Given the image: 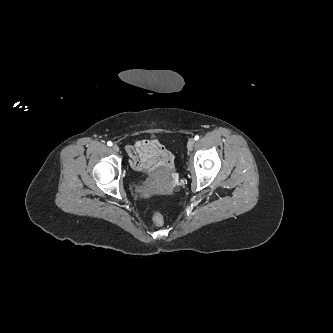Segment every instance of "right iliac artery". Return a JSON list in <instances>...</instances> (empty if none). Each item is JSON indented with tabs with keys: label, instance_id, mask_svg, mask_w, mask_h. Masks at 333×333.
Returning <instances> with one entry per match:
<instances>
[{
	"label": "right iliac artery",
	"instance_id": "obj_1",
	"mask_svg": "<svg viewBox=\"0 0 333 333\" xmlns=\"http://www.w3.org/2000/svg\"><path fill=\"white\" fill-rule=\"evenodd\" d=\"M107 145H108V146H112V142L109 141V142L107 143Z\"/></svg>",
	"mask_w": 333,
	"mask_h": 333
}]
</instances>
